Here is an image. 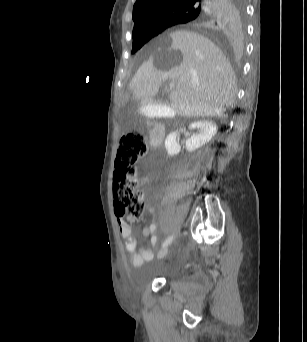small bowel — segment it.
Returning <instances> with one entry per match:
<instances>
[{
	"mask_svg": "<svg viewBox=\"0 0 307 342\" xmlns=\"http://www.w3.org/2000/svg\"><path fill=\"white\" fill-rule=\"evenodd\" d=\"M149 213H153L152 208L148 209ZM134 220H125L122 217L117 218V225L122 238L125 240V247L130 254V262L133 267H140L145 262L150 261L155 252L157 244V225L151 223L143 230L144 236H151V243L148 247H138L136 238L132 234V228L130 223Z\"/></svg>",
	"mask_w": 307,
	"mask_h": 342,
	"instance_id": "small-bowel-1",
	"label": "small bowel"
}]
</instances>
